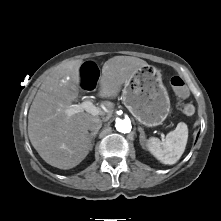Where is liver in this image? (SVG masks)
<instances>
[{
  "mask_svg": "<svg viewBox=\"0 0 221 221\" xmlns=\"http://www.w3.org/2000/svg\"><path fill=\"white\" fill-rule=\"evenodd\" d=\"M81 60L69 62L40 86L28 114V136L32 146L49 165L71 169L82 162L92 150L87 125L99 119L87 112L72 116L66 113L79 96ZM147 62L131 56H115L102 67L99 80L102 97H116L139 68ZM110 113L114 104L104 101Z\"/></svg>",
  "mask_w": 221,
  "mask_h": 221,
  "instance_id": "obj_1",
  "label": "liver"
}]
</instances>
